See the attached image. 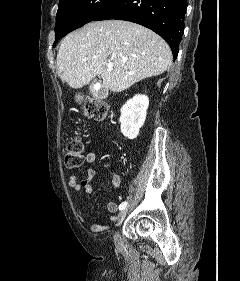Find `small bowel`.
I'll return each instance as SVG.
<instances>
[{
  "mask_svg": "<svg viewBox=\"0 0 240 281\" xmlns=\"http://www.w3.org/2000/svg\"><path fill=\"white\" fill-rule=\"evenodd\" d=\"M97 158L96 153L89 152L86 154V162L93 163ZM106 168L111 171L112 174V185L115 189H119L121 184V179L119 174L113 169V163L107 162L105 164ZM97 176V171L93 168H89L86 171V177L79 179L76 175H71L68 179V185L75 190V192L80 193H91L93 191V180ZM118 209V205L114 202H109L107 204V210L111 213H115ZM78 214L80 218L84 221H87V218L83 210L79 207ZM116 217H112L111 220H115ZM90 231L94 233L102 232L108 229L107 225H102L98 223H89L88 225Z\"/></svg>",
  "mask_w": 240,
  "mask_h": 281,
  "instance_id": "1",
  "label": "small bowel"
}]
</instances>
